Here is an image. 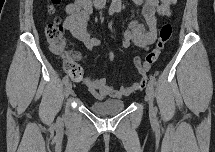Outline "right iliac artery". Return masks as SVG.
I'll return each instance as SVG.
<instances>
[{
	"instance_id": "right-iliac-artery-1",
	"label": "right iliac artery",
	"mask_w": 215,
	"mask_h": 152,
	"mask_svg": "<svg viewBox=\"0 0 215 152\" xmlns=\"http://www.w3.org/2000/svg\"><path fill=\"white\" fill-rule=\"evenodd\" d=\"M114 12H115V10H114L113 8H110V9H109V15H112ZM68 81H69L68 76H67V75L64 76V77H63V80H62L63 84L68 83Z\"/></svg>"
}]
</instances>
